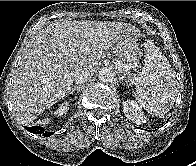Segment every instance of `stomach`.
<instances>
[{"label":"stomach","instance_id":"0dacf381","mask_svg":"<svg viewBox=\"0 0 196 166\" xmlns=\"http://www.w3.org/2000/svg\"><path fill=\"white\" fill-rule=\"evenodd\" d=\"M114 52L116 57L129 65L135 64L141 57V50L137 40L132 36H127L120 40L115 45Z\"/></svg>","mask_w":196,"mask_h":166}]
</instances>
